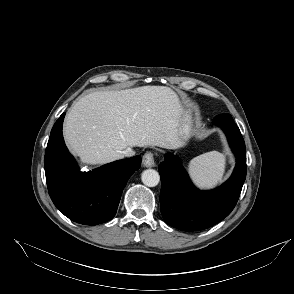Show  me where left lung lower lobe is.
<instances>
[{
    "label": "left lung lower lobe",
    "mask_w": 294,
    "mask_h": 294,
    "mask_svg": "<svg viewBox=\"0 0 294 294\" xmlns=\"http://www.w3.org/2000/svg\"><path fill=\"white\" fill-rule=\"evenodd\" d=\"M215 121L226 132L236 156L232 176L220 187L200 191L194 187L180 161L165 155L158 170L161 177L160 206L164 221L183 231L204 230L219 223L235 207L246 178L245 142L230 114H220Z\"/></svg>",
    "instance_id": "obj_1"
}]
</instances>
